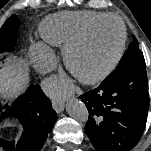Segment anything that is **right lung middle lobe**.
<instances>
[{"label": "right lung middle lobe", "mask_w": 151, "mask_h": 151, "mask_svg": "<svg viewBox=\"0 0 151 151\" xmlns=\"http://www.w3.org/2000/svg\"><path fill=\"white\" fill-rule=\"evenodd\" d=\"M19 24L18 18L12 15L0 29V53L12 51L16 45Z\"/></svg>", "instance_id": "obj_1"}]
</instances>
